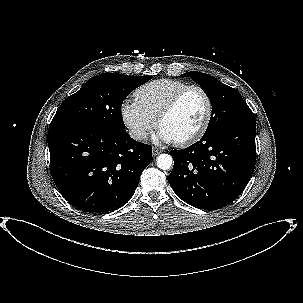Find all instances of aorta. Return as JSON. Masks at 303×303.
<instances>
[{
	"label": "aorta",
	"instance_id": "aorta-1",
	"mask_svg": "<svg viewBox=\"0 0 303 303\" xmlns=\"http://www.w3.org/2000/svg\"><path fill=\"white\" fill-rule=\"evenodd\" d=\"M157 166L161 170H168L173 164V158L169 154H161L157 158Z\"/></svg>",
	"mask_w": 303,
	"mask_h": 303
}]
</instances>
